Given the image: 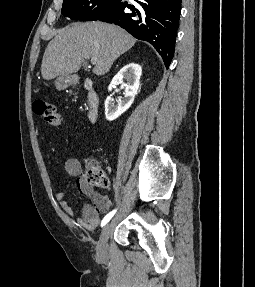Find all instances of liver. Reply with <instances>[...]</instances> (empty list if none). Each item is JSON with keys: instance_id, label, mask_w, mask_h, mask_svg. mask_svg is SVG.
<instances>
[{"instance_id": "liver-1", "label": "liver", "mask_w": 255, "mask_h": 287, "mask_svg": "<svg viewBox=\"0 0 255 287\" xmlns=\"http://www.w3.org/2000/svg\"><path fill=\"white\" fill-rule=\"evenodd\" d=\"M135 42L128 32L114 24L76 22L59 30L49 42L42 60V78L54 80L57 76L74 74L89 58H98L93 74L103 76Z\"/></svg>"}]
</instances>
